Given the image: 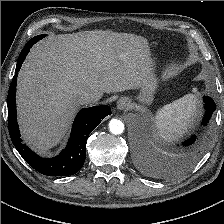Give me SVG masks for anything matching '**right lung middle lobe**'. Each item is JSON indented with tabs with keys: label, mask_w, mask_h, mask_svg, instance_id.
<instances>
[{
	"label": "right lung middle lobe",
	"mask_w": 224,
	"mask_h": 224,
	"mask_svg": "<svg viewBox=\"0 0 224 224\" xmlns=\"http://www.w3.org/2000/svg\"><path fill=\"white\" fill-rule=\"evenodd\" d=\"M46 35L42 34V35H38L32 38V40H34L35 42H38L39 40H41L42 38H44Z\"/></svg>",
	"instance_id": "1"
}]
</instances>
